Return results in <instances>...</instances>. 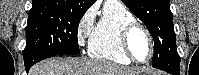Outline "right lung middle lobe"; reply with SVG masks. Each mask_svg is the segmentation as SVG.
Here are the masks:
<instances>
[{
    "instance_id": "right-lung-middle-lobe-1",
    "label": "right lung middle lobe",
    "mask_w": 199,
    "mask_h": 75,
    "mask_svg": "<svg viewBox=\"0 0 199 75\" xmlns=\"http://www.w3.org/2000/svg\"><path fill=\"white\" fill-rule=\"evenodd\" d=\"M85 12L61 7L31 8L26 31L23 57L35 54L37 61L80 53L77 31Z\"/></svg>"
}]
</instances>
